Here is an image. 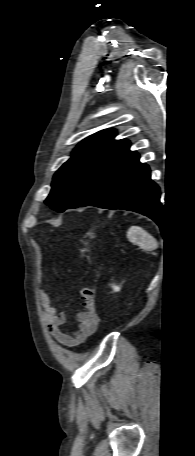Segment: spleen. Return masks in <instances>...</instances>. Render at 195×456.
I'll return each mask as SVG.
<instances>
[{"label": "spleen", "mask_w": 195, "mask_h": 456, "mask_svg": "<svg viewBox=\"0 0 195 456\" xmlns=\"http://www.w3.org/2000/svg\"><path fill=\"white\" fill-rule=\"evenodd\" d=\"M127 237L146 250H152L157 245L154 238L139 226H131L127 232Z\"/></svg>", "instance_id": "spleen-1"}]
</instances>
